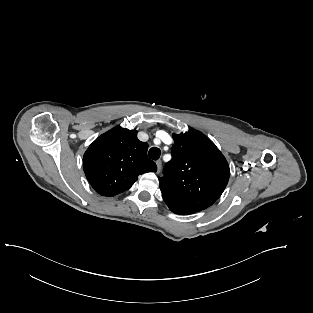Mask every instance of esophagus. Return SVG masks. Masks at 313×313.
<instances>
[{
	"mask_svg": "<svg viewBox=\"0 0 313 313\" xmlns=\"http://www.w3.org/2000/svg\"><path fill=\"white\" fill-rule=\"evenodd\" d=\"M156 165H157V173H160L161 168H162V162H161V160H157V161H156Z\"/></svg>",
	"mask_w": 313,
	"mask_h": 313,
	"instance_id": "1",
	"label": "esophagus"
}]
</instances>
